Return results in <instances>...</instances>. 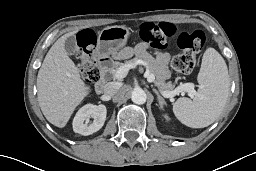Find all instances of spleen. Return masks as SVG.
I'll list each match as a JSON object with an SVG mask.
<instances>
[{
    "label": "spleen",
    "instance_id": "1",
    "mask_svg": "<svg viewBox=\"0 0 256 171\" xmlns=\"http://www.w3.org/2000/svg\"><path fill=\"white\" fill-rule=\"evenodd\" d=\"M197 80L199 85L193 100L179 98L173 104V113L188 127L204 128L220 116L230 90L226 62L214 48L205 51Z\"/></svg>",
    "mask_w": 256,
    "mask_h": 171
}]
</instances>
